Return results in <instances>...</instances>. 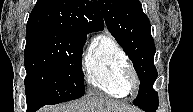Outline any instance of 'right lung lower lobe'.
<instances>
[{
  "mask_svg": "<svg viewBox=\"0 0 193 112\" xmlns=\"http://www.w3.org/2000/svg\"><path fill=\"white\" fill-rule=\"evenodd\" d=\"M28 105V104H27ZM40 107L37 105H28L27 112H35L39 109Z\"/></svg>",
  "mask_w": 193,
  "mask_h": 112,
  "instance_id": "98d812e1",
  "label": "right lung lower lobe"
}]
</instances>
